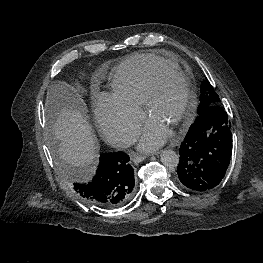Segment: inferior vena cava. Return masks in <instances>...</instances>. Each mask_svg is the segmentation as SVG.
I'll return each mask as SVG.
<instances>
[{
    "label": "inferior vena cava",
    "instance_id": "obj_1",
    "mask_svg": "<svg viewBox=\"0 0 263 263\" xmlns=\"http://www.w3.org/2000/svg\"><path fill=\"white\" fill-rule=\"evenodd\" d=\"M136 142L135 137L126 131L117 132L114 137V145L119 148H128Z\"/></svg>",
    "mask_w": 263,
    "mask_h": 263
}]
</instances>
